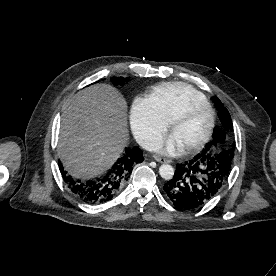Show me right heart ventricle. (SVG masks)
Wrapping results in <instances>:
<instances>
[{
  "mask_svg": "<svg viewBox=\"0 0 276 276\" xmlns=\"http://www.w3.org/2000/svg\"><path fill=\"white\" fill-rule=\"evenodd\" d=\"M194 99H206L192 86L182 82H166L156 86L148 96L158 115L167 123Z\"/></svg>",
  "mask_w": 276,
  "mask_h": 276,
  "instance_id": "right-heart-ventricle-1",
  "label": "right heart ventricle"
}]
</instances>
